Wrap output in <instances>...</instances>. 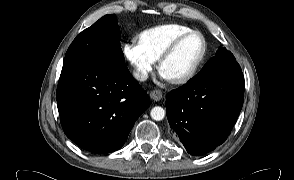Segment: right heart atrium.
<instances>
[{"label":"right heart atrium","instance_id":"1","mask_svg":"<svg viewBox=\"0 0 294 180\" xmlns=\"http://www.w3.org/2000/svg\"><path fill=\"white\" fill-rule=\"evenodd\" d=\"M123 53L132 66L134 77L139 81H145L154 69L157 60L149 55L136 39L124 44Z\"/></svg>","mask_w":294,"mask_h":180}]
</instances>
